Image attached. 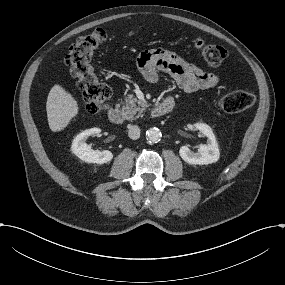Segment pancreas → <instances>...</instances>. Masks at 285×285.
I'll use <instances>...</instances> for the list:
<instances>
[{"instance_id": "pancreas-1", "label": "pancreas", "mask_w": 285, "mask_h": 285, "mask_svg": "<svg viewBox=\"0 0 285 285\" xmlns=\"http://www.w3.org/2000/svg\"><path fill=\"white\" fill-rule=\"evenodd\" d=\"M125 96L122 114L128 120H137L142 116L144 110L147 108V105L144 102L139 101L132 94H125Z\"/></svg>"}]
</instances>
